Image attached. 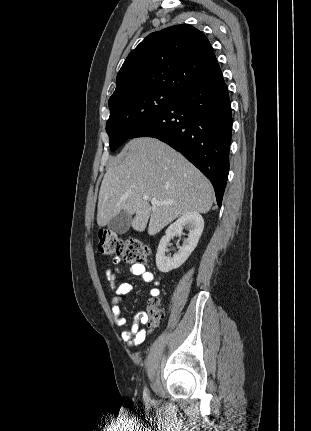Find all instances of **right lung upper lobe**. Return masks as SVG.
<instances>
[{
    "label": "right lung upper lobe",
    "mask_w": 311,
    "mask_h": 431,
    "mask_svg": "<svg viewBox=\"0 0 311 431\" xmlns=\"http://www.w3.org/2000/svg\"><path fill=\"white\" fill-rule=\"evenodd\" d=\"M207 37L188 24L149 34L122 65L111 98L140 90L182 93L220 75Z\"/></svg>",
    "instance_id": "obj_1"
}]
</instances>
